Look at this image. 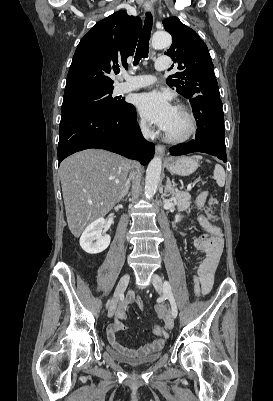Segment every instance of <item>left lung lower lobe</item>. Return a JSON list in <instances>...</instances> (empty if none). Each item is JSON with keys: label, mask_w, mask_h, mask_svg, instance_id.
I'll return each mask as SVG.
<instances>
[{"label": "left lung lower lobe", "mask_w": 273, "mask_h": 401, "mask_svg": "<svg viewBox=\"0 0 273 401\" xmlns=\"http://www.w3.org/2000/svg\"><path fill=\"white\" fill-rule=\"evenodd\" d=\"M198 130L195 140L170 148L171 155L204 152L226 162L225 127L220 97L198 95L189 98Z\"/></svg>", "instance_id": "1"}]
</instances>
